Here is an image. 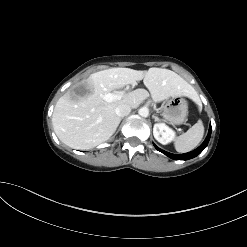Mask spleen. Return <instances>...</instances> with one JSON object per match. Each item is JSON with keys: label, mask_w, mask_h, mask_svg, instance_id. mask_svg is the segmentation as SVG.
I'll list each match as a JSON object with an SVG mask.
<instances>
[{"label": "spleen", "mask_w": 247, "mask_h": 247, "mask_svg": "<svg viewBox=\"0 0 247 247\" xmlns=\"http://www.w3.org/2000/svg\"><path fill=\"white\" fill-rule=\"evenodd\" d=\"M204 135V126L201 120L195 123L186 133L175 139L174 146L177 152L186 153L193 150L201 142Z\"/></svg>", "instance_id": "1"}]
</instances>
